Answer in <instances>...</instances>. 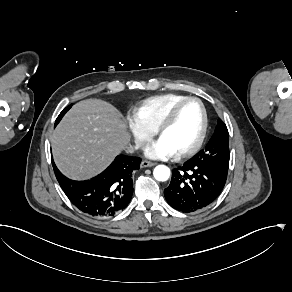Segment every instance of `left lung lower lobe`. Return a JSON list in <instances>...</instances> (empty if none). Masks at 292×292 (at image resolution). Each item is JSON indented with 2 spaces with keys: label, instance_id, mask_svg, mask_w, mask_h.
Listing matches in <instances>:
<instances>
[{
  "label": "left lung lower lobe",
  "instance_id": "left-lung-lower-lobe-1",
  "mask_svg": "<svg viewBox=\"0 0 292 292\" xmlns=\"http://www.w3.org/2000/svg\"><path fill=\"white\" fill-rule=\"evenodd\" d=\"M229 164L208 163L191 158L173 169L170 185L164 190L168 204L183 213L204 209L220 195Z\"/></svg>",
  "mask_w": 292,
  "mask_h": 292
}]
</instances>
